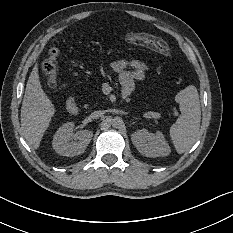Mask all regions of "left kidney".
<instances>
[{
  "label": "left kidney",
  "instance_id": "5707ae66",
  "mask_svg": "<svg viewBox=\"0 0 233 233\" xmlns=\"http://www.w3.org/2000/svg\"><path fill=\"white\" fill-rule=\"evenodd\" d=\"M131 140L137 150L145 157H164L171 153L164 134L161 130L150 133L146 129H139L132 133Z\"/></svg>",
  "mask_w": 233,
  "mask_h": 233
}]
</instances>
